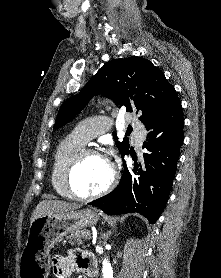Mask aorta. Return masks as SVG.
Masks as SVG:
<instances>
[{"label": "aorta", "instance_id": "1", "mask_svg": "<svg viewBox=\"0 0 221 278\" xmlns=\"http://www.w3.org/2000/svg\"><path fill=\"white\" fill-rule=\"evenodd\" d=\"M103 278H113V270L108 259L103 260V268H102Z\"/></svg>", "mask_w": 221, "mask_h": 278}]
</instances>
